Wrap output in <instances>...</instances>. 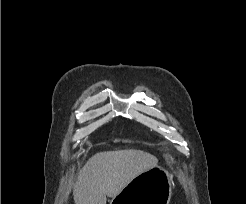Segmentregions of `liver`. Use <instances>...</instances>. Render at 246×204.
Segmentation results:
<instances>
[{"instance_id":"obj_1","label":"liver","mask_w":246,"mask_h":204,"mask_svg":"<svg viewBox=\"0 0 246 204\" xmlns=\"http://www.w3.org/2000/svg\"><path fill=\"white\" fill-rule=\"evenodd\" d=\"M158 159L137 149L96 153L79 172L73 189L75 204H106L136 176L156 167Z\"/></svg>"}]
</instances>
